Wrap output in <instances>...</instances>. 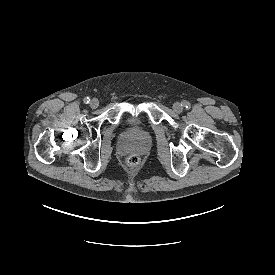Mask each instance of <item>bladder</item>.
<instances>
[{
	"mask_svg": "<svg viewBox=\"0 0 275 275\" xmlns=\"http://www.w3.org/2000/svg\"><path fill=\"white\" fill-rule=\"evenodd\" d=\"M123 120L132 125H138L142 122L141 116L137 113L124 114Z\"/></svg>",
	"mask_w": 275,
	"mask_h": 275,
	"instance_id": "1",
	"label": "bladder"
}]
</instances>
